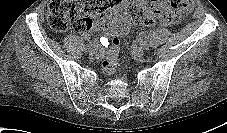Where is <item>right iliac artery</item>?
I'll list each match as a JSON object with an SVG mask.
<instances>
[{
	"mask_svg": "<svg viewBox=\"0 0 227 133\" xmlns=\"http://www.w3.org/2000/svg\"><path fill=\"white\" fill-rule=\"evenodd\" d=\"M95 46V44H88V45H86L85 47H84V51H88L90 48H92V47H94Z\"/></svg>",
	"mask_w": 227,
	"mask_h": 133,
	"instance_id": "82829eb1",
	"label": "right iliac artery"
}]
</instances>
